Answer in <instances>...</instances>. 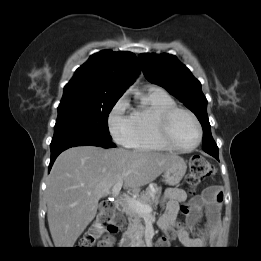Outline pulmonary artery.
Masks as SVG:
<instances>
[{
  "mask_svg": "<svg viewBox=\"0 0 261 261\" xmlns=\"http://www.w3.org/2000/svg\"><path fill=\"white\" fill-rule=\"evenodd\" d=\"M150 89H158L157 87H151Z\"/></svg>",
  "mask_w": 261,
  "mask_h": 261,
  "instance_id": "e3ab8cb5",
  "label": "pulmonary artery"
}]
</instances>
